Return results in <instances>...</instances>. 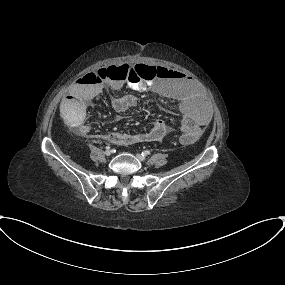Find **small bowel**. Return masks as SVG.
Masks as SVG:
<instances>
[{"label": "small bowel", "mask_w": 285, "mask_h": 285, "mask_svg": "<svg viewBox=\"0 0 285 285\" xmlns=\"http://www.w3.org/2000/svg\"><path fill=\"white\" fill-rule=\"evenodd\" d=\"M123 66H113L118 69L117 76L104 82L83 83L79 80L71 87V93L63 98L60 103V112L64 120L78 126V131L83 136H91V127L83 121L89 109V103L104 87L118 90L125 84L134 90L151 89L157 95L177 102L182 113L180 121L181 134L197 131L200 135L203 128L209 123V108L205 100L197 92L192 78L178 70H166L161 78L150 83L134 81V76L129 70L124 71ZM136 99L132 95H122L113 99L117 110L133 106ZM171 125L164 119H156L152 127L142 132H112L94 135V138L103 139L115 146H129L140 143H150L163 140L171 132Z\"/></svg>", "instance_id": "small-bowel-1"}]
</instances>
